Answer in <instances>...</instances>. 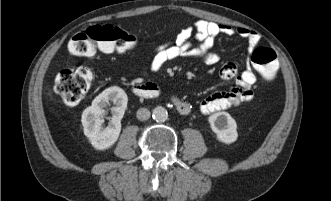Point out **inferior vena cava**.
I'll return each instance as SVG.
<instances>
[{
	"mask_svg": "<svg viewBox=\"0 0 331 201\" xmlns=\"http://www.w3.org/2000/svg\"><path fill=\"white\" fill-rule=\"evenodd\" d=\"M136 116L138 120L145 121L150 118L151 113L147 108H140L138 109Z\"/></svg>",
	"mask_w": 331,
	"mask_h": 201,
	"instance_id": "inferior-vena-cava-1",
	"label": "inferior vena cava"
}]
</instances>
